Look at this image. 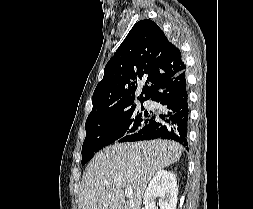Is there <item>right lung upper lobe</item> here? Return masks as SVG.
I'll return each mask as SVG.
<instances>
[{
	"label": "right lung upper lobe",
	"mask_w": 253,
	"mask_h": 209,
	"mask_svg": "<svg viewBox=\"0 0 253 209\" xmlns=\"http://www.w3.org/2000/svg\"><path fill=\"white\" fill-rule=\"evenodd\" d=\"M185 68L180 50L155 22H137L106 64L104 77L93 93L88 118L136 106L135 91L142 84L138 99L141 103L151 99Z\"/></svg>",
	"instance_id": "cb5924a9"
}]
</instances>
